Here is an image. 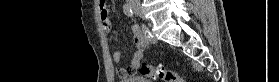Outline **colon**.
<instances>
[{"instance_id":"5ec220e1","label":"colon","mask_w":279,"mask_h":82,"mask_svg":"<svg viewBox=\"0 0 279 82\" xmlns=\"http://www.w3.org/2000/svg\"><path fill=\"white\" fill-rule=\"evenodd\" d=\"M139 74L162 82H184L178 73L160 65H143L139 69Z\"/></svg>"}]
</instances>
